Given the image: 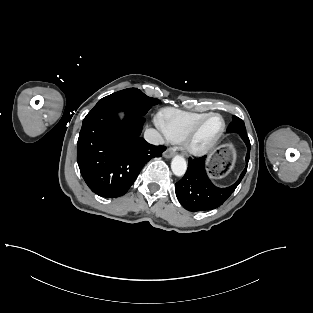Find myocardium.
I'll use <instances>...</instances> for the list:
<instances>
[{
	"instance_id": "myocardium-1",
	"label": "myocardium",
	"mask_w": 313,
	"mask_h": 313,
	"mask_svg": "<svg viewBox=\"0 0 313 313\" xmlns=\"http://www.w3.org/2000/svg\"><path fill=\"white\" fill-rule=\"evenodd\" d=\"M212 117H219L222 121V127L217 136L207 145L199 146L195 143V137L202 126ZM226 130V122L222 115L218 113H210L202 120L195 124L181 140L183 150L191 156H203L211 152L223 137Z\"/></svg>"
}]
</instances>
